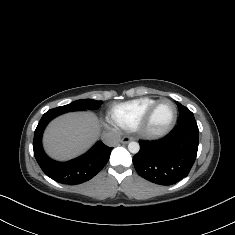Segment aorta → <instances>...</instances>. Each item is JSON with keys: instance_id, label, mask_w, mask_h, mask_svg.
<instances>
[{"instance_id": "1", "label": "aorta", "mask_w": 235, "mask_h": 235, "mask_svg": "<svg viewBox=\"0 0 235 235\" xmlns=\"http://www.w3.org/2000/svg\"><path fill=\"white\" fill-rule=\"evenodd\" d=\"M128 150L129 152L136 154L140 150V145L137 142L131 141L128 143Z\"/></svg>"}]
</instances>
